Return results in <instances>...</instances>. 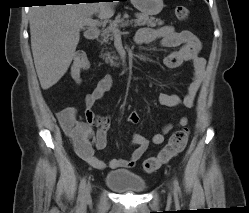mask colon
Listing matches in <instances>:
<instances>
[{"instance_id":"obj_1","label":"colon","mask_w":249,"mask_h":213,"mask_svg":"<svg viewBox=\"0 0 249 213\" xmlns=\"http://www.w3.org/2000/svg\"><path fill=\"white\" fill-rule=\"evenodd\" d=\"M175 14L180 20L185 21L189 17V10L187 7L179 5L175 8ZM88 67L89 64L86 56L82 52H77L74 55L70 68L72 77L75 80H79L81 74L85 72ZM188 137L189 130L187 128L174 132L157 157L144 161L143 170L147 173H152L159 169L163 164L167 163L185 148Z\"/></svg>"}]
</instances>
